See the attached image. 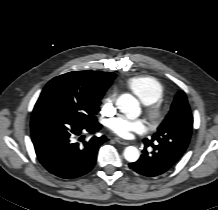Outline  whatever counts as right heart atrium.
Returning <instances> with one entry per match:
<instances>
[{"instance_id": "right-heart-atrium-1", "label": "right heart atrium", "mask_w": 218, "mask_h": 210, "mask_svg": "<svg viewBox=\"0 0 218 210\" xmlns=\"http://www.w3.org/2000/svg\"><path fill=\"white\" fill-rule=\"evenodd\" d=\"M114 105V95H109L104 100L103 110L104 111H111Z\"/></svg>"}]
</instances>
